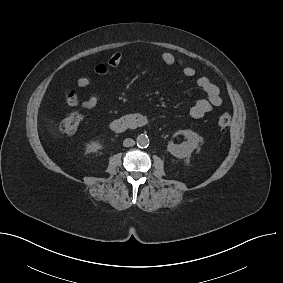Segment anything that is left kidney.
<instances>
[{"instance_id": "1", "label": "left kidney", "mask_w": 283, "mask_h": 283, "mask_svg": "<svg viewBox=\"0 0 283 283\" xmlns=\"http://www.w3.org/2000/svg\"><path fill=\"white\" fill-rule=\"evenodd\" d=\"M182 134L187 138V141L176 145L172 141L168 143L167 150L176 158H189L191 153L198 147L201 142V137L191 130H179L175 135Z\"/></svg>"}]
</instances>
